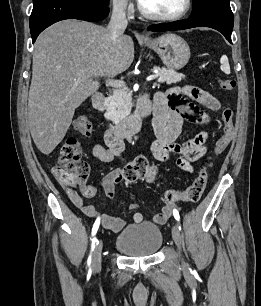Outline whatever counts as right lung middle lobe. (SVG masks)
<instances>
[{"instance_id":"1","label":"right lung middle lobe","mask_w":261,"mask_h":306,"mask_svg":"<svg viewBox=\"0 0 261 306\" xmlns=\"http://www.w3.org/2000/svg\"><path fill=\"white\" fill-rule=\"evenodd\" d=\"M96 3H99L101 5H104V6H108L109 5V0H92Z\"/></svg>"}]
</instances>
